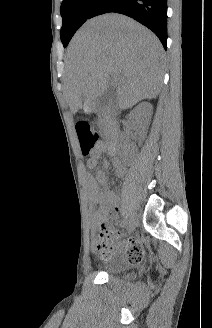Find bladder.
<instances>
[{"label":"bladder","instance_id":"bladder-1","mask_svg":"<svg viewBox=\"0 0 212 328\" xmlns=\"http://www.w3.org/2000/svg\"><path fill=\"white\" fill-rule=\"evenodd\" d=\"M127 262L120 257H115L103 266V270L109 275L123 279L134 278V273L128 272Z\"/></svg>","mask_w":212,"mask_h":328}]
</instances>
